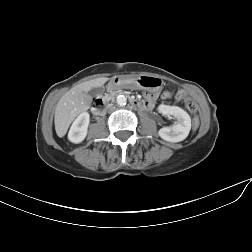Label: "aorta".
<instances>
[{"label":"aorta","instance_id":"aorta-1","mask_svg":"<svg viewBox=\"0 0 252 252\" xmlns=\"http://www.w3.org/2000/svg\"><path fill=\"white\" fill-rule=\"evenodd\" d=\"M118 105L123 106L127 102V98L124 95H119L116 99Z\"/></svg>","mask_w":252,"mask_h":252}]
</instances>
